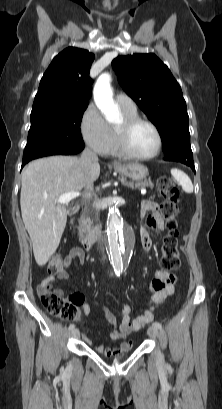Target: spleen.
I'll list each match as a JSON object with an SVG mask.
<instances>
[{"mask_svg": "<svg viewBox=\"0 0 222 409\" xmlns=\"http://www.w3.org/2000/svg\"><path fill=\"white\" fill-rule=\"evenodd\" d=\"M171 174L175 180L181 185L182 189L187 193L193 192V184L190 178L181 170L172 168Z\"/></svg>", "mask_w": 222, "mask_h": 409, "instance_id": "obj_1", "label": "spleen"}]
</instances>
